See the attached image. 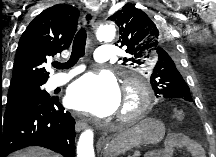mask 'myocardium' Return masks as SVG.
<instances>
[{"instance_id":"1","label":"myocardium","mask_w":216,"mask_h":157,"mask_svg":"<svg viewBox=\"0 0 216 157\" xmlns=\"http://www.w3.org/2000/svg\"><path fill=\"white\" fill-rule=\"evenodd\" d=\"M124 99L131 100L132 106L118 113V119L125 124L137 122L151 105V92L141 80H128L124 87Z\"/></svg>"}]
</instances>
